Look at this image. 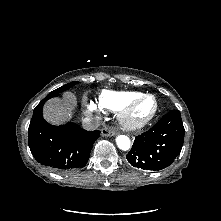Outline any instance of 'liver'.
<instances>
[{
  "label": "liver",
  "instance_id": "liver-1",
  "mask_svg": "<svg viewBox=\"0 0 221 221\" xmlns=\"http://www.w3.org/2000/svg\"><path fill=\"white\" fill-rule=\"evenodd\" d=\"M76 104V97L70 92L65 93L62 100L53 98L44 106V118L54 125L64 124L72 118V111Z\"/></svg>",
  "mask_w": 221,
  "mask_h": 221
}]
</instances>
